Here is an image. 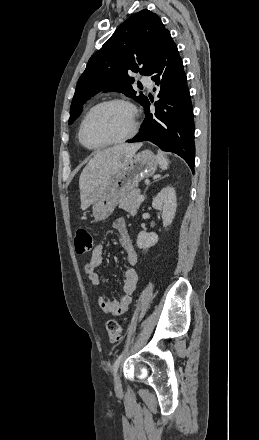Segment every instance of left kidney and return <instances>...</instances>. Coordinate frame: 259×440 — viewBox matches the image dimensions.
Instances as JSON below:
<instances>
[{"label":"left kidney","instance_id":"5707ae66","mask_svg":"<svg viewBox=\"0 0 259 440\" xmlns=\"http://www.w3.org/2000/svg\"><path fill=\"white\" fill-rule=\"evenodd\" d=\"M152 207L162 212L163 227H168L175 216L177 208L176 191L173 187H164L153 199ZM158 242V235L154 232L141 231L137 237V246L147 250Z\"/></svg>","mask_w":259,"mask_h":440}]
</instances>
